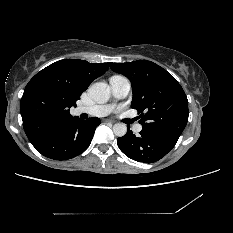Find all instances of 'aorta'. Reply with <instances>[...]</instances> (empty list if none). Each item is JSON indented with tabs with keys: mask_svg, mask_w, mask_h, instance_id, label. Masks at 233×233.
<instances>
[{
	"mask_svg": "<svg viewBox=\"0 0 233 233\" xmlns=\"http://www.w3.org/2000/svg\"><path fill=\"white\" fill-rule=\"evenodd\" d=\"M88 93L90 97L97 103H105L110 97V87L105 82H97L92 84ZM113 132L116 136L122 137L127 132V126L124 123H117L113 126Z\"/></svg>",
	"mask_w": 233,
	"mask_h": 233,
	"instance_id": "1",
	"label": "aorta"
}]
</instances>
